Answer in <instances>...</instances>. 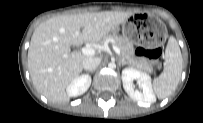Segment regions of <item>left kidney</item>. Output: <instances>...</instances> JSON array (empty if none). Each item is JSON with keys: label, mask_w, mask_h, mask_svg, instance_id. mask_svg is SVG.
<instances>
[{"label": "left kidney", "mask_w": 203, "mask_h": 123, "mask_svg": "<svg viewBox=\"0 0 203 123\" xmlns=\"http://www.w3.org/2000/svg\"><path fill=\"white\" fill-rule=\"evenodd\" d=\"M133 80L137 81L142 91L133 88ZM122 82L124 90L133 100L148 104L156 101L152 90L151 77L148 74L133 68H125L122 71Z\"/></svg>", "instance_id": "1"}]
</instances>
